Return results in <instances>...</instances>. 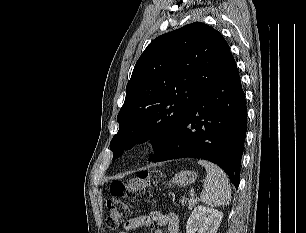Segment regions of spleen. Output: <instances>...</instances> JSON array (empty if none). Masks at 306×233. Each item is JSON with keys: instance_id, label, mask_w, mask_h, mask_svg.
<instances>
[{"instance_id": "1", "label": "spleen", "mask_w": 306, "mask_h": 233, "mask_svg": "<svg viewBox=\"0 0 306 233\" xmlns=\"http://www.w3.org/2000/svg\"><path fill=\"white\" fill-rule=\"evenodd\" d=\"M198 164L204 166L207 171L201 201L209 206H227L231 200V188L225 172L205 160H199Z\"/></svg>"}]
</instances>
